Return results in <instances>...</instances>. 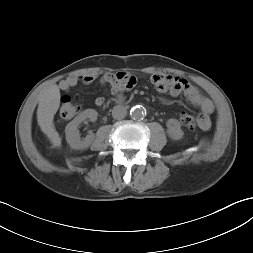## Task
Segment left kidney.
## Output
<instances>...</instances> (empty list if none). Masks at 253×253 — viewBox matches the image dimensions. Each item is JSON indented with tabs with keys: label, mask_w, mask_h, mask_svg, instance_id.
Segmentation results:
<instances>
[{
	"label": "left kidney",
	"mask_w": 253,
	"mask_h": 253,
	"mask_svg": "<svg viewBox=\"0 0 253 253\" xmlns=\"http://www.w3.org/2000/svg\"><path fill=\"white\" fill-rule=\"evenodd\" d=\"M167 125V134L170 138L174 140H180L183 138V131L181 130V125L177 119H169L166 123Z\"/></svg>",
	"instance_id": "1"
}]
</instances>
